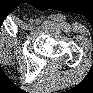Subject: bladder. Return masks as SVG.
Returning a JSON list of instances; mask_svg holds the SVG:
<instances>
[{"label": "bladder", "mask_w": 93, "mask_h": 93, "mask_svg": "<svg viewBox=\"0 0 93 93\" xmlns=\"http://www.w3.org/2000/svg\"><path fill=\"white\" fill-rule=\"evenodd\" d=\"M0 43H1L2 46H6L8 44V39L5 38V37L4 38H1L0 39Z\"/></svg>", "instance_id": "bladder-1"}]
</instances>
